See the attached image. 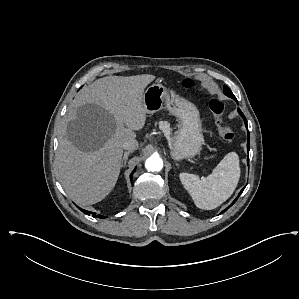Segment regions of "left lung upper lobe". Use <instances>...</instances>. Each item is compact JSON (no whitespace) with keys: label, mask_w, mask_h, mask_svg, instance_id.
<instances>
[{"label":"left lung upper lobe","mask_w":299,"mask_h":299,"mask_svg":"<svg viewBox=\"0 0 299 299\" xmlns=\"http://www.w3.org/2000/svg\"><path fill=\"white\" fill-rule=\"evenodd\" d=\"M224 94L230 98L235 97L234 94L231 92L230 88L227 87L226 85L224 86Z\"/></svg>","instance_id":"1"}]
</instances>
